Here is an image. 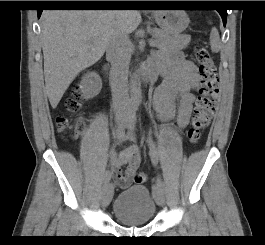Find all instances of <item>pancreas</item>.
Returning <instances> with one entry per match:
<instances>
[{
	"mask_svg": "<svg viewBox=\"0 0 265 245\" xmlns=\"http://www.w3.org/2000/svg\"><path fill=\"white\" fill-rule=\"evenodd\" d=\"M157 44L155 45L161 49H172L182 50L185 49L190 41L189 35H170L163 30H154V40Z\"/></svg>",
	"mask_w": 265,
	"mask_h": 245,
	"instance_id": "1",
	"label": "pancreas"
}]
</instances>
